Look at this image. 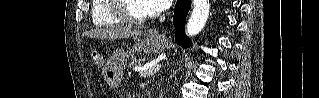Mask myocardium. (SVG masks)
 I'll return each instance as SVG.
<instances>
[{"mask_svg":"<svg viewBox=\"0 0 319 98\" xmlns=\"http://www.w3.org/2000/svg\"><path fill=\"white\" fill-rule=\"evenodd\" d=\"M124 0H111V10L115 17H117L121 23L133 26H139L146 23L152 18L151 14H148L141 18H134L126 14L124 10Z\"/></svg>","mask_w":319,"mask_h":98,"instance_id":"1","label":"myocardium"}]
</instances>
